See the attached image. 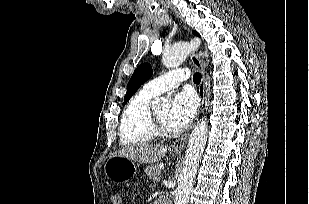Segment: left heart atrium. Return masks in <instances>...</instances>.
<instances>
[{
    "label": "left heart atrium",
    "mask_w": 309,
    "mask_h": 204,
    "mask_svg": "<svg viewBox=\"0 0 309 204\" xmlns=\"http://www.w3.org/2000/svg\"><path fill=\"white\" fill-rule=\"evenodd\" d=\"M198 108L196 95L191 91L177 93L172 101L168 115V126L173 129H183L193 120Z\"/></svg>",
    "instance_id": "1"
}]
</instances>
